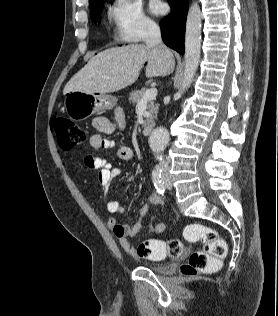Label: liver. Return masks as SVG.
<instances>
[{
    "label": "liver",
    "mask_w": 278,
    "mask_h": 316,
    "mask_svg": "<svg viewBox=\"0 0 278 316\" xmlns=\"http://www.w3.org/2000/svg\"><path fill=\"white\" fill-rule=\"evenodd\" d=\"M146 65V77L167 76L175 67L172 52L164 45L131 44L107 49L92 57L65 85L63 93H112L133 84ZM109 76L110 79L105 77Z\"/></svg>",
    "instance_id": "6515ba94"
}]
</instances>
